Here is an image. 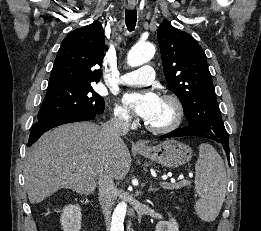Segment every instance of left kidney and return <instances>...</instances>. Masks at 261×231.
Masks as SVG:
<instances>
[{
  "instance_id": "left-kidney-1",
  "label": "left kidney",
  "mask_w": 261,
  "mask_h": 231,
  "mask_svg": "<svg viewBox=\"0 0 261 231\" xmlns=\"http://www.w3.org/2000/svg\"><path fill=\"white\" fill-rule=\"evenodd\" d=\"M155 231H179L178 223L175 218H170L169 221H160L157 223Z\"/></svg>"
}]
</instances>
